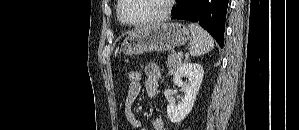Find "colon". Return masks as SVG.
<instances>
[{
    "instance_id": "colon-1",
    "label": "colon",
    "mask_w": 299,
    "mask_h": 130,
    "mask_svg": "<svg viewBox=\"0 0 299 130\" xmlns=\"http://www.w3.org/2000/svg\"><path fill=\"white\" fill-rule=\"evenodd\" d=\"M141 73L137 70H131L127 74V80L129 83V86H135L141 83Z\"/></svg>"
}]
</instances>
